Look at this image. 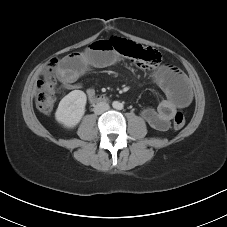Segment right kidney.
Returning a JSON list of instances; mask_svg holds the SVG:
<instances>
[{"instance_id":"right-kidney-1","label":"right kidney","mask_w":227,"mask_h":227,"mask_svg":"<svg viewBox=\"0 0 227 227\" xmlns=\"http://www.w3.org/2000/svg\"><path fill=\"white\" fill-rule=\"evenodd\" d=\"M87 97L81 90H74L67 94L59 103L55 113L57 122L66 128L75 127L85 113Z\"/></svg>"}]
</instances>
